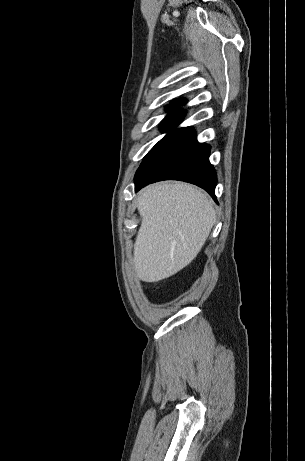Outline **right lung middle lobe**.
<instances>
[{"mask_svg":"<svg viewBox=\"0 0 305 461\" xmlns=\"http://www.w3.org/2000/svg\"><path fill=\"white\" fill-rule=\"evenodd\" d=\"M167 109H169V114L163 119V121L161 122L162 123V126H161V130L164 131V132H168V134L170 133V131L172 130V128L177 124V122L181 119V117L184 115V111L183 110H180L178 108H171V107H168ZM168 134L162 138L150 151L149 153L155 148L157 147L167 136ZM148 153V154H149ZM147 154V155H148ZM146 155V156H147ZM145 156V157H146Z\"/></svg>","mask_w":305,"mask_h":461,"instance_id":"obj_1","label":"right lung middle lobe"}]
</instances>
